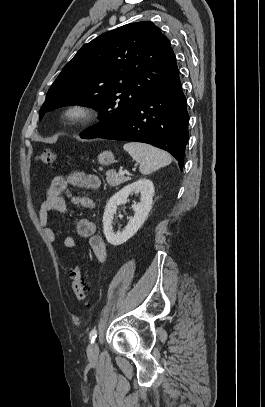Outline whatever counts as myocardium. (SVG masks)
<instances>
[{
  "label": "myocardium",
  "mask_w": 265,
  "mask_h": 407,
  "mask_svg": "<svg viewBox=\"0 0 265 407\" xmlns=\"http://www.w3.org/2000/svg\"><path fill=\"white\" fill-rule=\"evenodd\" d=\"M60 116L68 126L80 127L95 121L99 110L90 103L73 101L63 106Z\"/></svg>",
  "instance_id": "obj_1"
}]
</instances>
